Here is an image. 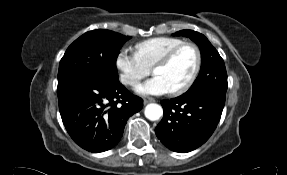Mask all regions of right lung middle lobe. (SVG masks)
Returning a JSON list of instances; mask_svg holds the SVG:
<instances>
[{
    "mask_svg": "<svg viewBox=\"0 0 287 175\" xmlns=\"http://www.w3.org/2000/svg\"><path fill=\"white\" fill-rule=\"evenodd\" d=\"M130 38L103 29L83 34L68 47L62 57L58 83L76 77L118 83L116 59L120 48Z\"/></svg>",
    "mask_w": 287,
    "mask_h": 175,
    "instance_id": "dd1d6c3e",
    "label": "right lung middle lobe"
}]
</instances>
